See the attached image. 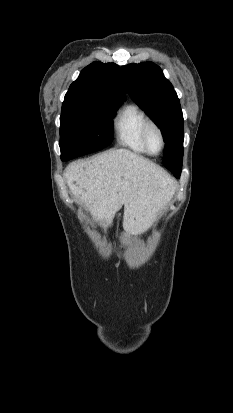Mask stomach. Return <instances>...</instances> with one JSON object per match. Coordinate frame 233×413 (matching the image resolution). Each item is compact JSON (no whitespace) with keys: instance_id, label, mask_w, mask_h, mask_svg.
Wrapping results in <instances>:
<instances>
[{"instance_id":"obj_1","label":"stomach","mask_w":233,"mask_h":413,"mask_svg":"<svg viewBox=\"0 0 233 413\" xmlns=\"http://www.w3.org/2000/svg\"><path fill=\"white\" fill-rule=\"evenodd\" d=\"M129 243H130V237H129L128 235H124V236L121 238V245H122L123 247H126V246L129 245Z\"/></svg>"}]
</instances>
